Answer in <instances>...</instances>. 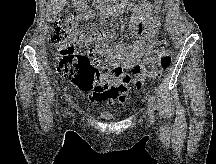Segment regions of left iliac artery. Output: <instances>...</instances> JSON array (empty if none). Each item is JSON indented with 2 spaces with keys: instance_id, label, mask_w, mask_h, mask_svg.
<instances>
[{
  "instance_id": "1",
  "label": "left iliac artery",
  "mask_w": 216,
  "mask_h": 164,
  "mask_svg": "<svg viewBox=\"0 0 216 164\" xmlns=\"http://www.w3.org/2000/svg\"><path fill=\"white\" fill-rule=\"evenodd\" d=\"M155 109H156V104L154 103V97L150 96V98H149V115L152 118V123H154V117H155L154 111H155Z\"/></svg>"
}]
</instances>
